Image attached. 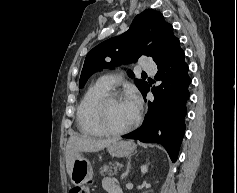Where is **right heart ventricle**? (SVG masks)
<instances>
[{
	"label": "right heart ventricle",
	"mask_w": 237,
	"mask_h": 193,
	"mask_svg": "<svg viewBox=\"0 0 237 193\" xmlns=\"http://www.w3.org/2000/svg\"><path fill=\"white\" fill-rule=\"evenodd\" d=\"M110 90L97 82L85 92L77 109V124L83 134L97 137L104 135L95 124L94 109L98 101L108 94Z\"/></svg>",
	"instance_id": "1"
}]
</instances>
